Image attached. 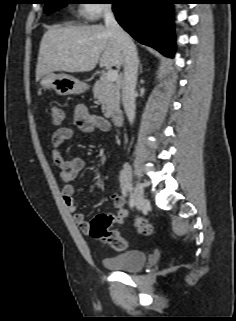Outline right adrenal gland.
Here are the masks:
<instances>
[{"instance_id": "2a0ac1e0", "label": "right adrenal gland", "mask_w": 236, "mask_h": 321, "mask_svg": "<svg viewBox=\"0 0 236 321\" xmlns=\"http://www.w3.org/2000/svg\"><path fill=\"white\" fill-rule=\"evenodd\" d=\"M140 73H142V64L139 62Z\"/></svg>"}]
</instances>
